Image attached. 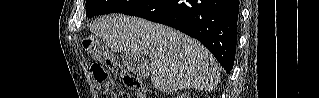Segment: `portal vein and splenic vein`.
Here are the masks:
<instances>
[{"label":"portal vein and splenic vein","instance_id":"1","mask_svg":"<svg viewBox=\"0 0 319 98\" xmlns=\"http://www.w3.org/2000/svg\"><path fill=\"white\" fill-rule=\"evenodd\" d=\"M144 54H148V51H147V52H144Z\"/></svg>","mask_w":319,"mask_h":98}]
</instances>
